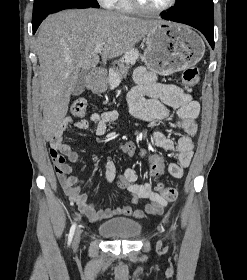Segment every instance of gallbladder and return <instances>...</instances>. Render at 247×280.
I'll return each mask as SVG.
<instances>
[{
    "instance_id": "obj_1",
    "label": "gallbladder",
    "mask_w": 247,
    "mask_h": 280,
    "mask_svg": "<svg viewBox=\"0 0 247 280\" xmlns=\"http://www.w3.org/2000/svg\"><path fill=\"white\" fill-rule=\"evenodd\" d=\"M85 78H86V71H81L79 73L77 81H76V83L74 85L73 95L78 96V95H80L84 91L85 85H86Z\"/></svg>"
}]
</instances>
